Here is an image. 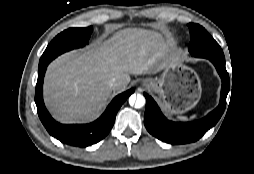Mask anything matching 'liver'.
Listing matches in <instances>:
<instances>
[{"label":"liver","mask_w":254,"mask_h":174,"mask_svg":"<svg viewBox=\"0 0 254 174\" xmlns=\"http://www.w3.org/2000/svg\"><path fill=\"white\" fill-rule=\"evenodd\" d=\"M170 42L155 31L126 28L101 45L67 52L52 61L44 80V101L62 123L86 122L103 109L112 91H123L130 75L149 74L173 58ZM119 86L112 88L109 80Z\"/></svg>","instance_id":"6515ba94"}]
</instances>
